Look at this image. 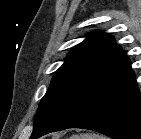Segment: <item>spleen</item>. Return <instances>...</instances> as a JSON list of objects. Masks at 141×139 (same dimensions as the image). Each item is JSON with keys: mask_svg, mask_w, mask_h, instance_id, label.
<instances>
[{"mask_svg": "<svg viewBox=\"0 0 141 139\" xmlns=\"http://www.w3.org/2000/svg\"><path fill=\"white\" fill-rule=\"evenodd\" d=\"M70 139H108L105 136H101L98 134H80V135H72Z\"/></svg>", "mask_w": 141, "mask_h": 139, "instance_id": "spleen-1", "label": "spleen"}]
</instances>
